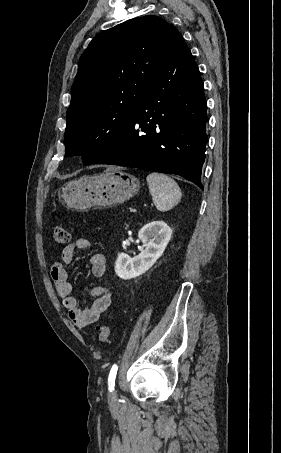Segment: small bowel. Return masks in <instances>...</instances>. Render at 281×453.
<instances>
[{
    "label": "small bowel",
    "instance_id": "small-bowel-1",
    "mask_svg": "<svg viewBox=\"0 0 281 453\" xmlns=\"http://www.w3.org/2000/svg\"><path fill=\"white\" fill-rule=\"evenodd\" d=\"M90 247L89 238L77 239L63 249L61 262H55L50 269V277L55 283L56 291L62 300L67 316L76 326L96 323L114 298L113 292L108 288H93L90 292L96 296L95 300L86 307H81L72 294V284L66 266L73 261L76 251L87 252ZM89 271L92 277H101L106 274L105 256L102 253L91 255Z\"/></svg>",
    "mask_w": 281,
    "mask_h": 453
}]
</instances>
